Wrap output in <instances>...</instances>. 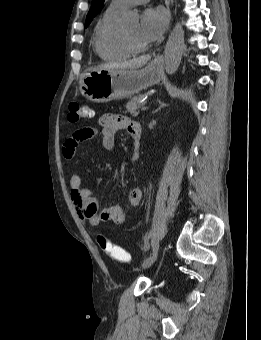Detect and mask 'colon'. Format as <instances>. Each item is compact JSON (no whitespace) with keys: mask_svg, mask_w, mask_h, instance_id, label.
Instances as JSON below:
<instances>
[{"mask_svg":"<svg viewBox=\"0 0 261 340\" xmlns=\"http://www.w3.org/2000/svg\"><path fill=\"white\" fill-rule=\"evenodd\" d=\"M92 116V110L85 104L72 102L69 105L68 120L76 123ZM96 241L100 249L112 259L121 263H128L131 260L130 254L122 247L112 243L104 234L98 233Z\"/></svg>","mask_w":261,"mask_h":340,"instance_id":"colon-1","label":"colon"}]
</instances>
